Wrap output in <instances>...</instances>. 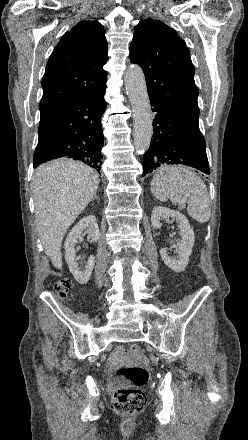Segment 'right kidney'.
<instances>
[{
  "label": "right kidney",
  "instance_id": "1",
  "mask_svg": "<svg viewBox=\"0 0 248 440\" xmlns=\"http://www.w3.org/2000/svg\"><path fill=\"white\" fill-rule=\"evenodd\" d=\"M86 230L92 242L100 237L97 220L94 215H88L81 219L70 231L65 241V259L69 270L79 284H86L91 276L95 265V257L91 255L85 269H81L76 261L75 246L78 238Z\"/></svg>",
  "mask_w": 248,
  "mask_h": 440
}]
</instances>
